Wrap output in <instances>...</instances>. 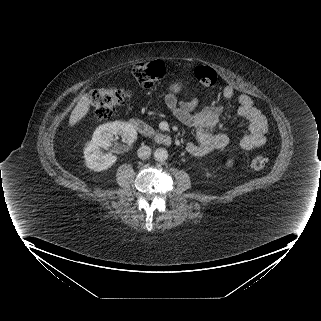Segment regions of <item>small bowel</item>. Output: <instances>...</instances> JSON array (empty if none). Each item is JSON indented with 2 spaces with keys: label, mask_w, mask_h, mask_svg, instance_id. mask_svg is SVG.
I'll use <instances>...</instances> for the list:
<instances>
[{
  "label": "small bowel",
  "mask_w": 321,
  "mask_h": 321,
  "mask_svg": "<svg viewBox=\"0 0 321 321\" xmlns=\"http://www.w3.org/2000/svg\"><path fill=\"white\" fill-rule=\"evenodd\" d=\"M224 96L229 100L234 99L236 97L234 88L226 87ZM163 100L175 117L195 133L196 141L189 142L186 146L189 154L199 157L227 147L229 143L227 135L218 131L222 114L221 106L200 108L194 98L179 102L171 94L166 95ZM237 100L238 114L248 122L250 131L241 139L240 147L244 151L251 152L265 144L268 122L250 96L241 94L237 96Z\"/></svg>",
  "instance_id": "c3829d8e"
}]
</instances>
